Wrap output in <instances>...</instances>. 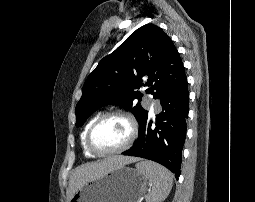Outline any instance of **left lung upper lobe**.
<instances>
[{
	"instance_id": "5c2ea615",
	"label": "left lung upper lobe",
	"mask_w": 255,
	"mask_h": 202,
	"mask_svg": "<svg viewBox=\"0 0 255 202\" xmlns=\"http://www.w3.org/2000/svg\"><path fill=\"white\" fill-rule=\"evenodd\" d=\"M185 77L182 60L172 40L161 28L146 24L134 31L113 53L104 57L88 76L76 105V126L105 105L130 110L139 126L148 116L140 106L141 86L155 99ZM138 99V103L133 101Z\"/></svg>"
}]
</instances>
